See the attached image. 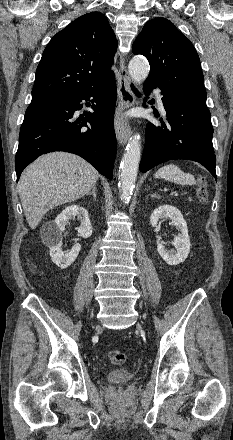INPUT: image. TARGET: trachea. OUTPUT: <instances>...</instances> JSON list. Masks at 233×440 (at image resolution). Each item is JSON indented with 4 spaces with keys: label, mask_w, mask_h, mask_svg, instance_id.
I'll return each mask as SVG.
<instances>
[{
    "label": "trachea",
    "mask_w": 233,
    "mask_h": 440,
    "mask_svg": "<svg viewBox=\"0 0 233 440\" xmlns=\"http://www.w3.org/2000/svg\"><path fill=\"white\" fill-rule=\"evenodd\" d=\"M133 91L139 95V92L132 86Z\"/></svg>",
    "instance_id": "trachea-1"
}]
</instances>
